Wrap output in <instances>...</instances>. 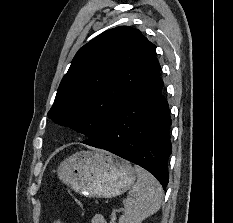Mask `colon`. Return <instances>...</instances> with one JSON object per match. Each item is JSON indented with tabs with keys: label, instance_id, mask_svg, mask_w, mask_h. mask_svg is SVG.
<instances>
[{
	"label": "colon",
	"instance_id": "5ec220e1",
	"mask_svg": "<svg viewBox=\"0 0 233 223\" xmlns=\"http://www.w3.org/2000/svg\"><path fill=\"white\" fill-rule=\"evenodd\" d=\"M54 223H62L61 220H56Z\"/></svg>",
	"mask_w": 233,
	"mask_h": 223
}]
</instances>
